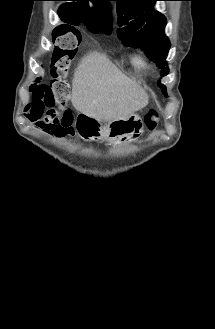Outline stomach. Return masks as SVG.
Returning a JSON list of instances; mask_svg holds the SVG:
<instances>
[{
  "label": "stomach",
  "mask_w": 215,
  "mask_h": 329,
  "mask_svg": "<svg viewBox=\"0 0 215 329\" xmlns=\"http://www.w3.org/2000/svg\"><path fill=\"white\" fill-rule=\"evenodd\" d=\"M97 135L112 145H120L138 139L143 133V123L139 115L131 114L126 118L109 121L99 127Z\"/></svg>",
  "instance_id": "stomach-1"
}]
</instances>
